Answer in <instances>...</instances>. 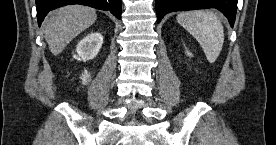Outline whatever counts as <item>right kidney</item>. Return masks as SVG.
Listing matches in <instances>:
<instances>
[{"label":"right kidney","instance_id":"1","mask_svg":"<svg viewBox=\"0 0 276 145\" xmlns=\"http://www.w3.org/2000/svg\"><path fill=\"white\" fill-rule=\"evenodd\" d=\"M103 43V36L98 32H91L84 37L77 45L76 52L73 58L79 61H88L97 56ZM82 83L87 84L90 79V75L87 71L82 74Z\"/></svg>","mask_w":276,"mask_h":145}]
</instances>
